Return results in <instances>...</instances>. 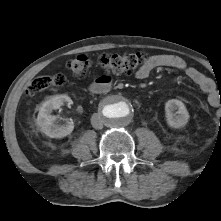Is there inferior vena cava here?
<instances>
[{
  "label": "inferior vena cava",
  "mask_w": 221,
  "mask_h": 221,
  "mask_svg": "<svg viewBox=\"0 0 221 221\" xmlns=\"http://www.w3.org/2000/svg\"><path fill=\"white\" fill-rule=\"evenodd\" d=\"M91 124L95 129H102L103 128V118L100 114H93L91 117Z\"/></svg>",
  "instance_id": "inferior-vena-cava-1"
}]
</instances>
